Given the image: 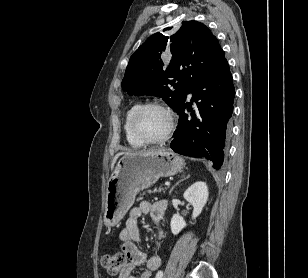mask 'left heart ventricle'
Returning a JSON list of instances; mask_svg holds the SVG:
<instances>
[{"label": "left heart ventricle", "mask_w": 308, "mask_h": 278, "mask_svg": "<svg viewBox=\"0 0 308 278\" xmlns=\"http://www.w3.org/2000/svg\"><path fill=\"white\" fill-rule=\"evenodd\" d=\"M169 120L167 114L157 108L144 111L138 119V127L149 138H160L168 129Z\"/></svg>", "instance_id": "b2bd125f"}]
</instances>
